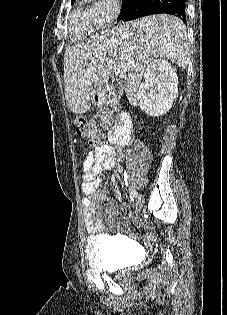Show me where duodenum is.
Returning a JSON list of instances; mask_svg holds the SVG:
<instances>
[{"mask_svg":"<svg viewBox=\"0 0 227 315\" xmlns=\"http://www.w3.org/2000/svg\"><path fill=\"white\" fill-rule=\"evenodd\" d=\"M131 134L132 122L130 115L125 111H121L116 127L110 132V140L115 145L124 146L130 141Z\"/></svg>","mask_w":227,"mask_h":315,"instance_id":"obj_1","label":"duodenum"}]
</instances>
